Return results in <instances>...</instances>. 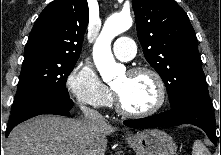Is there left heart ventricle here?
<instances>
[{"label": "left heart ventricle", "mask_w": 221, "mask_h": 155, "mask_svg": "<svg viewBox=\"0 0 221 155\" xmlns=\"http://www.w3.org/2000/svg\"><path fill=\"white\" fill-rule=\"evenodd\" d=\"M125 107L134 112L151 109L158 100V88L155 80L148 74H122L113 84Z\"/></svg>", "instance_id": "1"}]
</instances>
